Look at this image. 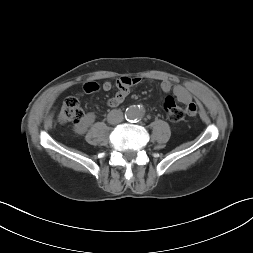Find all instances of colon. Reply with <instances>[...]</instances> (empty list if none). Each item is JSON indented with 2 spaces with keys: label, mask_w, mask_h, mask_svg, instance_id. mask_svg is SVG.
Instances as JSON below:
<instances>
[{
  "label": "colon",
  "mask_w": 253,
  "mask_h": 253,
  "mask_svg": "<svg viewBox=\"0 0 253 253\" xmlns=\"http://www.w3.org/2000/svg\"><path fill=\"white\" fill-rule=\"evenodd\" d=\"M182 108L172 97H167L164 101V111L169 121L173 123L182 122L185 117L182 115ZM83 117V109L80 101L76 97H68L64 100L58 113L60 124L77 123Z\"/></svg>",
  "instance_id": "obj_1"
}]
</instances>
